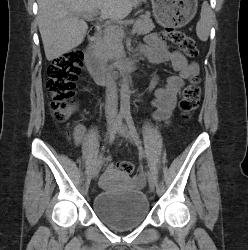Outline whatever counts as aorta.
I'll use <instances>...</instances> for the list:
<instances>
[{"label":"aorta","instance_id":"1","mask_svg":"<svg viewBox=\"0 0 248 250\" xmlns=\"http://www.w3.org/2000/svg\"><path fill=\"white\" fill-rule=\"evenodd\" d=\"M120 111L123 114H127L130 112V87L128 75H125L121 82Z\"/></svg>","mask_w":248,"mask_h":250}]
</instances>
